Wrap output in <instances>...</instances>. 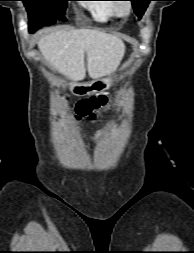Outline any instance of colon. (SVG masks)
Masks as SVG:
<instances>
[{
    "mask_svg": "<svg viewBox=\"0 0 194 253\" xmlns=\"http://www.w3.org/2000/svg\"><path fill=\"white\" fill-rule=\"evenodd\" d=\"M108 97L104 95L81 99L75 106V116L78 120H94L108 107Z\"/></svg>",
    "mask_w": 194,
    "mask_h": 253,
    "instance_id": "colon-1",
    "label": "colon"
}]
</instances>
